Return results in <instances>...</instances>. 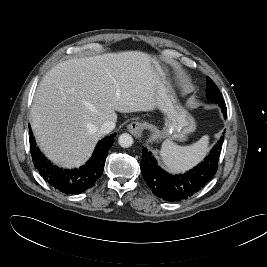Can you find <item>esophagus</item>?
<instances>
[{"label":"esophagus","mask_w":267,"mask_h":267,"mask_svg":"<svg viewBox=\"0 0 267 267\" xmlns=\"http://www.w3.org/2000/svg\"><path fill=\"white\" fill-rule=\"evenodd\" d=\"M143 129V124L139 121H133L128 125V131L137 138L141 137Z\"/></svg>","instance_id":"1"}]
</instances>
